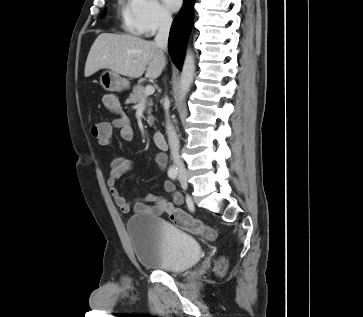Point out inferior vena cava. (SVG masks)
<instances>
[{
  "instance_id": "obj_1",
  "label": "inferior vena cava",
  "mask_w": 363,
  "mask_h": 317,
  "mask_svg": "<svg viewBox=\"0 0 363 317\" xmlns=\"http://www.w3.org/2000/svg\"><path fill=\"white\" fill-rule=\"evenodd\" d=\"M172 24V18L170 15H162L160 18L159 28L157 35L154 39L155 44L157 47H159L162 51L166 52L168 49V37L169 32ZM164 109L166 112V133L168 136V142L171 150V155L173 158V161L175 165L177 166L179 172L186 171L184 163L181 160L180 154H179V138L177 136V133L172 126L170 119H169V100L167 97L164 99Z\"/></svg>"
}]
</instances>
